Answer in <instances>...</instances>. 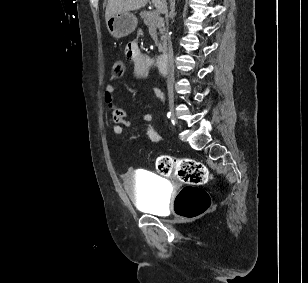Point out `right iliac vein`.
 <instances>
[{
    "label": "right iliac vein",
    "mask_w": 308,
    "mask_h": 283,
    "mask_svg": "<svg viewBox=\"0 0 308 283\" xmlns=\"http://www.w3.org/2000/svg\"><path fill=\"white\" fill-rule=\"evenodd\" d=\"M169 110H170V112H171L172 120H173L174 122H177V121H176V118H175V115H174V100H173V98H170V99H169Z\"/></svg>",
    "instance_id": "obj_1"
}]
</instances>
